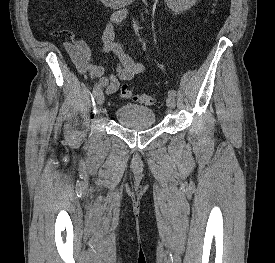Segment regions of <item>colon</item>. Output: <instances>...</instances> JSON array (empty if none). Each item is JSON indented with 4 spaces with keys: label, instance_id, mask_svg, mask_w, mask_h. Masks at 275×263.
<instances>
[{
    "label": "colon",
    "instance_id": "1",
    "mask_svg": "<svg viewBox=\"0 0 275 263\" xmlns=\"http://www.w3.org/2000/svg\"><path fill=\"white\" fill-rule=\"evenodd\" d=\"M118 94L120 97L124 99H129L135 103L145 105V106L156 105L158 103V99L154 94L136 93L127 87H121L118 90Z\"/></svg>",
    "mask_w": 275,
    "mask_h": 263
}]
</instances>
